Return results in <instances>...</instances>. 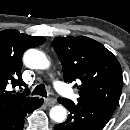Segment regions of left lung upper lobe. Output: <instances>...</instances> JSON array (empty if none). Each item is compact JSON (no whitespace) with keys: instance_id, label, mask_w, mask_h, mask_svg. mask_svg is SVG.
I'll return each instance as SVG.
<instances>
[{"instance_id":"left-lung-upper-lobe-1","label":"left lung upper lobe","mask_w":130,"mask_h":130,"mask_svg":"<svg viewBox=\"0 0 130 130\" xmlns=\"http://www.w3.org/2000/svg\"><path fill=\"white\" fill-rule=\"evenodd\" d=\"M53 48L63 66L65 82L79 80L78 101L101 106L113 114L122 92V69L101 43L84 36L57 37Z\"/></svg>"}]
</instances>
